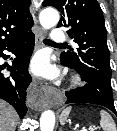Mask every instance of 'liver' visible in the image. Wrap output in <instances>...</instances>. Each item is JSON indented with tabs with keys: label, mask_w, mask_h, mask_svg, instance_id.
Returning <instances> with one entry per match:
<instances>
[{
	"label": "liver",
	"mask_w": 117,
	"mask_h": 131,
	"mask_svg": "<svg viewBox=\"0 0 117 131\" xmlns=\"http://www.w3.org/2000/svg\"><path fill=\"white\" fill-rule=\"evenodd\" d=\"M17 121L18 115L12 106L0 100V131H15Z\"/></svg>",
	"instance_id": "1"
}]
</instances>
